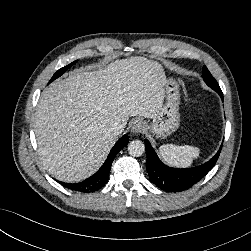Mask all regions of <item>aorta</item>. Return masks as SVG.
<instances>
[{"label":"aorta","mask_w":251,"mask_h":251,"mask_svg":"<svg viewBox=\"0 0 251 251\" xmlns=\"http://www.w3.org/2000/svg\"><path fill=\"white\" fill-rule=\"evenodd\" d=\"M145 151V146L140 140H133L128 144V152L131 156L139 157Z\"/></svg>","instance_id":"1"}]
</instances>
